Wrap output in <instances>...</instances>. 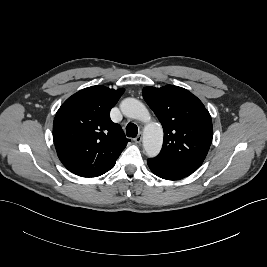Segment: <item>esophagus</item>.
<instances>
[{
	"mask_svg": "<svg viewBox=\"0 0 267 267\" xmlns=\"http://www.w3.org/2000/svg\"><path fill=\"white\" fill-rule=\"evenodd\" d=\"M135 143L140 144L142 141V136L139 134L136 138H134Z\"/></svg>",
	"mask_w": 267,
	"mask_h": 267,
	"instance_id": "34e87169",
	"label": "esophagus"
}]
</instances>
